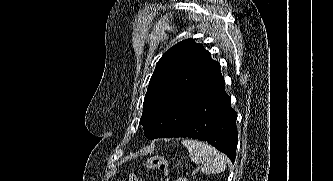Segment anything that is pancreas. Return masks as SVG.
I'll return each mask as SVG.
<instances>
[{"mask_svg":"<svg viewBox=\"0 0 333 181\" xmlns=\"http://www.w3.org/2000/svg\"><path fill=\"white\" fill-rule=\"evenodd\" d=\"M177 181H187V180L183 178H178Z\"/></svg>","mask_w":333,"mask_h":181,"instance_id":"pancreas-1","label":"pancreas"}]
</instances>
